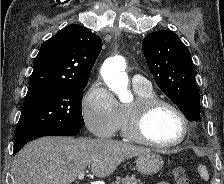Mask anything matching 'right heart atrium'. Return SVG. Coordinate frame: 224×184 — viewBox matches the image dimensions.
Returning a JSON list of instances; mask_svg holds the SVG:
<instances>
[{"label":"right heart atrium","instance_id":"obj_1","mask_svg":"<svg viewBox=\"0 0 224 184\" xmlns=\"http://www.w3.org/2000/svg\"><path fill=\"white\" fill-rule=\"evenodd\" d=\"M82 116L86 127L99 137H111L118 129L120 105L108 87L94 82L82 101Z\"/></svg>","mask_w":224,"mask_h":184}]
</instances>
